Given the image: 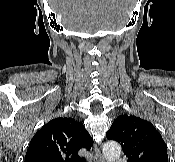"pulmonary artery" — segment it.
Segmentation results:
<instances>
[{"label":"pulmonary artery","instance_id":"1","mask_svg":"<svg viewBox=\"0 0 175 162\" xmlns=\"http://www.w3.org/2000/svg\"><path fill=\"white\" fill-rule=\"evenodd\" d=\"M116 162H125L124 160L120 159V160H116Z\"/></svg>","mask_w":175,"mask_h":162}]
</instances>
